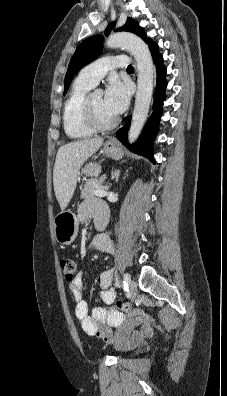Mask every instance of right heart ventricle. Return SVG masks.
Wrapping results in <instances>:
<instances>
[{
  "label": "right heart ventricle",
  "mask_w": 227,
  "mask_h": 396,
  "mask_svg": "<svg viewBox=\"0 0 227 396\" xmlns=\"http://www.w3.org/2000/svg\"><path fill=\"white\" fill-rule=\"evenodd\" d=\"M92 86L77 78L65 101L62 113L63 127L71 139H82L91 136L93 130L86 122L83 103Z\"/></svg>",
  "instance_id": "e07e8e85"
}]
</instances>
